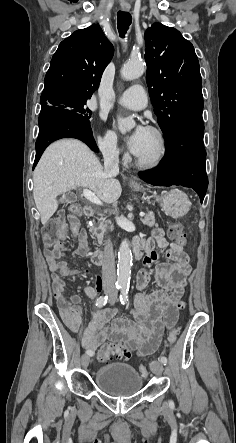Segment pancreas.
I'll return each mask as SVG.
<instances>
[{
	"instance_id": "pancreas-1",
	"label": "pancreas",
	"mask_w": 236,
	"mask_h": 443,
	"mask_svg": "<svg viewBox=\"0 0 236 443\" xmlns=\"http://www.w3.org/2000/svg\"><path fill=\"white\" fill-rule=\"evenodd\" d=\"M142 223L149 227L158 226V224L155 222V215L153 212H149L143 219H141ZM108 224H111V221L104 219H99L98 223L94 225L92 229V238L97 239L98 244L101 245L103 243V238L105 235V232L107 230ZM113 226H111V229Z\"/></svg>"
}]
</instances>
